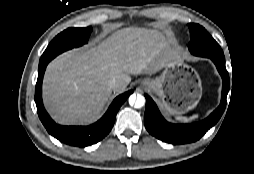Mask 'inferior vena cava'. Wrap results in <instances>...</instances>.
Returning a JSON list of instances; mask_svg holds the SVG:
<instances>
[{
	"mask_svg": "<svg viewBox=\"0 0 254 174\" xmlns=\"http://www.w3.org/2000/svg\"><path fill=\"white\" fill-rule=\"evenodd\" d=\"M109 86L113 89L119 86V81L116 78H113L109 81Z\"/></svg>",
	"mask_w": 254,
	"mask_h": 174,
	"instance_id": "1",
	"label": "inferior vena cava"
}]
</instances>
